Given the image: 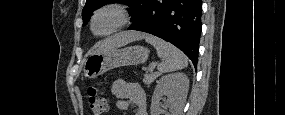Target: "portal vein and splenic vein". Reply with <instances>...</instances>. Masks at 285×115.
Returning <instances> with one entry per match:
<instances>
[{
	"label": "portal vein and splenic vein",
	"mask_w": 285,
	"mask_h": 115,
	"mask_svg": "<svg viewBox=\"0 0 285 115\" xmlns=\"http://www.w3.org/2000/svg\"><path fill=\"white\" fill-rule=\"evenodd\" d=\"M157 64H158V62L152 63L150 68H149V71L152 72Z\"/></svg>",
	"instance_id": "obj_1"
}]
</instances>
